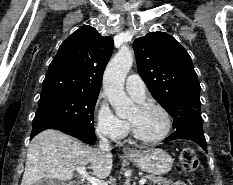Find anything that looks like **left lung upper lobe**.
Here are the masks:
<instances>
[{"mask_svg": "<svg viewBox=\"0 0 233 185\" xmlns=\"http://www.w3.org/2000/svg\"><path fill=\"white\" fill-rule=\"evenodd\" d=\"M140 76L152 96L174 118L179 130L201 122L200 85L187 51L164 32H151L133 43Z\"/></svg>", "mask_w": 233, "mask_h": 185, "instance_id": "obj_1", "label": "left lung upper lobe"}]
</instances>
